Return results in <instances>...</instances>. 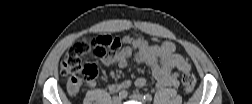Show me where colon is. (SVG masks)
<instances>
[{
	"mask_svg": "<svg viewBox=\"0 0 252 104\" xmlns=\"http://www.w3.org/2000/svg\"><path fill=\"white\" fill-rule=\"evenodd\" d=\"M139 40V37L117 38L107 35H94L75 42L64 55L60 65V73L66 79L68 91L71 94H76L82 82L96 76L95 66L84 63V57L105 59L116 53L122 43H136ZM181 83L187 94L194 92L196 78L193 73L184 71L181 74Z\"/></svg>",
	"mask_w": 252,
	"mask_h": 104,
	"instance_id": "obj_1",
	"label": "colon"
}]
</instances>
